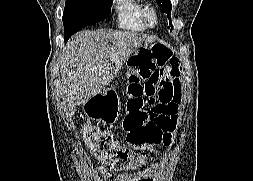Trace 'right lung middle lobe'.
I'll list each match as a JSON object with an SVG mask.
<instances>
[{"instance_id":"right-lung-middle-lobe-1","label":"right lung middle lobe","mask_w":253,"mask_h":181,"mask_svg":"<svg viewBox=\"0 0 253 181\" xmlns=\"http://www.w3.org/2000/svg\"><path fill=\"white\" fill-rule=\"evenodd\" d=\"M110 11V0H66L64 36L73 35L83 27L105 19Z\"/></svg>"}]
</instances>
